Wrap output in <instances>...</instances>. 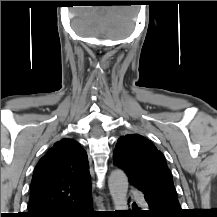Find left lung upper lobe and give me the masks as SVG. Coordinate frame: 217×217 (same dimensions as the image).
<instances>
[{"instance_id": "left-lung-upper-lobe-1", "label": "left lung upper lobe", "mask_w": 217, "mask_h": 217, "mask_svg": "<svg viewBox=\"0 0 217 217\" xmlns=\"http://www.w3.org/2000/svg\"><path fill=\"white\" fill-rule=\"evenodd\" d=\"M114 164L123 169L129 183L167 211L179 212L180 204L172 174L163 154L138 134L121 136L113 153Z\"/></svg>"}]
</instances>
